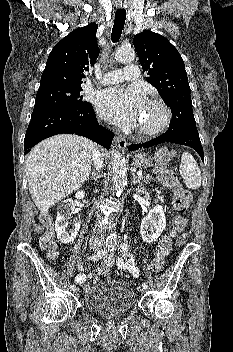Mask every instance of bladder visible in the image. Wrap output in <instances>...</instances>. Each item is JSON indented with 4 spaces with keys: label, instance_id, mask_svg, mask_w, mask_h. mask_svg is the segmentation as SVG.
<instances>
[{
    "label": "bladder",
    "instance_id": "31cf9c89",
    "mask_svg": "<svg viewBox=\"0 0 233 352\" xmlns=\"http://www.w3.org/2000/svg\"><path fill=\"white\" fill-rule=\"evenodd\" d=\"M85 308L103 315H120L135 305L134 291L124 283L102 281L90 286L83 299Z\"/></svg>",
    "mask_w": 233,
    "mask_h": 352
}]
</instances>
